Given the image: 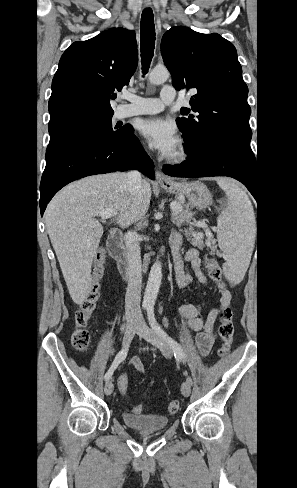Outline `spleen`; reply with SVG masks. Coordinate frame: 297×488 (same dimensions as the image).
I'll list each match as a JSON object with an SVG mask.
<instances>
[{
	"mask_svg": "<svg viewBox=\"0 0 297 488\" xmlns=\"http://www.w3.org/2000/svg\"><path fill=\"white\" fill-rule=\"evenodd\" d=\"M228 197L227 206L217 219L218 242L224 253L223 271L233 284L242 281L254 248L256 221L246 192L231 179H218Z\"/></svg>",
	"mask_w": 297,
	"mask_h": 488,
	"instance_id": "obj_1",
	"label": "spleen"
}]
</instances>
